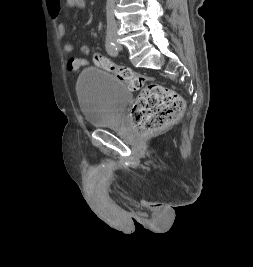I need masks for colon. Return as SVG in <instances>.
Returning a JSON list of instances; mask_svg holds the SVG:
<instances>
[{
	"instance_id": "5ec220e1",
	"label": "colon",
	"mask_w": 253,
	"mask_h": 267,
	"mask_svg": "<svg viewBox=\"0 0 253 267\" xmlns=\"http://www.w3.org/2000/svg\"><path fill=\"white\" fill-rule=\"evenodd\" d=\"M83 55H89L90 48L83 44L80 47ZM94 63L125 82L133 91H141L134 103L130 118L139 136L155 134L178 120L184 110V100L174 91L158 83L149 82L148 78L132 71L130 68L118 66L100 54L94 55ZM83 58H70L68 68L76 71L87 65Z\"/></svg>"
}]
</instances>
